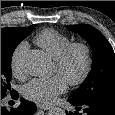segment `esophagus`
Wrapping results in <instances>:
<instances>
[{
  "instance_id": "1",
  "label": "esophagus",
  "mask_w": 115,
  "mask_h": 115,
  "mask_svg": "<svg viewBox=\"0 0 115 115\" xmlns=\"http://www.w3.org/2000/svg\"><path fill=\"white\" fill-rule=\"evenodd\" d=\"M38 109H42V110H48L49 107L47 106H42V105H37Z\"/></svg>"
}]
</instances>
